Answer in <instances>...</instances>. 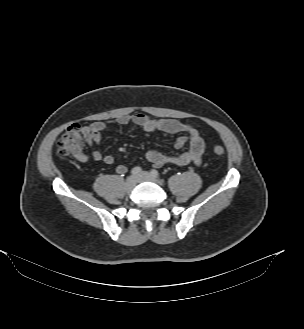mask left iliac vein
Here are the masks:
<instances>
[{
	"label": "left iliac vein",
	"mask_w": 304,
	"mask_h": 329,
	"mask_svg": "<svg viewBox=\"0 0 304 329\" xmlns=\"http://www.w3.org/2000/svg\"><path fill=\"white\" fill-rule=\"evenodd\" d=\"M137 182H143V181H150L154 183H158V180L148 172H141L136 176Z\"/></svg>",
	"instance_id": "1"
}]
</instances>
